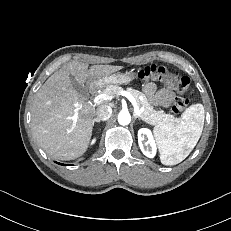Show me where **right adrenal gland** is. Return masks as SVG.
<instances>
[{"label":"right adrenal gland","mask_w":231,"mask_h":231,"mask_svg":"<svg viewBox=\"0 0 231 231\" xmlns=\"http://www.w3.org/2000/svg\"><path fill=\"white\" fill-rule=\"evenodd\" d=\"M94 123H100V121L98 119H94ZM93 123V125H94Z\"/></svg>","instance_id":"obj_1"}]
</instances>
